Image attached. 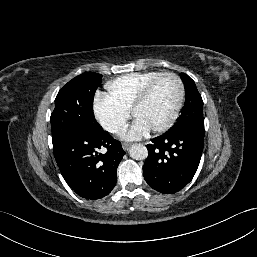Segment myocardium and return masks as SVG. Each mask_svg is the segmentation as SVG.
I'll use <instances>...</instances> for the list:
<instances>
[{
  "label": "myocardium",
  "mask_w": 257,
  "mask_h": 257,
  "mask_svg": "<svg viewBox=\"0 0 257 257\" xmlns=\"http://www.w3.org/2000/svg\"><path fill=\"white\" fill-rule=\"evenodd\" d=\"M164 77H171L176 81L178 86V99L169 119L161 126L152 129L154 133H161L170 129L178 119L185 97V88L182 79L173 72H163L159 74L143 88L131 108V113L134 115L147 102L155 86Z\"/></svg>",
  "instance_id": "f54148a6"
}]
</instances>
